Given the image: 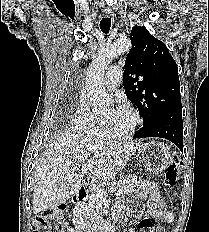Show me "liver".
Instances as JSON below:
<instances>
[{"label": "liver", "mask_w": 209, "mask_h": 232, "mask_svg": "<svg viewBox=\"0 0 209 232\" xmlns=\"http://www.w3.org/2000/svg\"><path fill=\"white\" fill-rule=\"evenodd\" d=\"M140 142L104 141L64 132L45 150L35 168L33 210L55 209L79 192L78 170L89 171L102 185L110 183L129 161Z\"/></svg>", "instance_id": "1"}]
</instances>
